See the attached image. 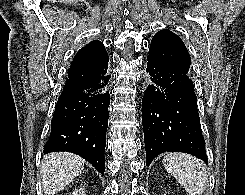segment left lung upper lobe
I'll return each mask as SVG.
<instances>
[{
  "instance_id": "left-lung-upper-lobe-1",
  "label": "left lung upper lobe",
  "mask_w": 245,
  "mask_h": 195,
  "mask_svg": "<svg viewBox=\"0 0 245 195\" xmlns=\"http://www.w3.org/2000/svg\"><path fill=\"white\" fill-rule=\"evenodd\" d=\"M148 58L168 67L174 74L188 75L191 58L183 41L169 30H160L153 37Z\"/></svg>"
}]
</instances>
